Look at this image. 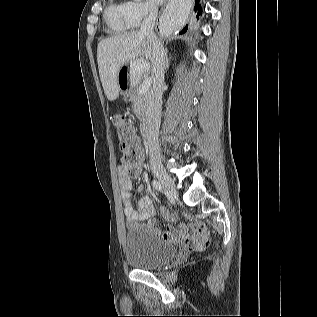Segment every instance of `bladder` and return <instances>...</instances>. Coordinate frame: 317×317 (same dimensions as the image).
<instances>
[{
	"instance_id": "31cf9c89",
	"label": "bladder",
	"mask_w": 317,
	"mask_h": 317,
	"mask_svg": "<svg viewBox=\"0 0 317 317\" xmlns=\"http://www.w3.org/2000/svg\"><path fill=\"white\" fill-rule=\"evenodd\" d=\"M179 253L176 245L162 242L144 227L129 229L124 237V255L135 269L156 270L174 260Z\"/></svg>"
}]
</instances>
